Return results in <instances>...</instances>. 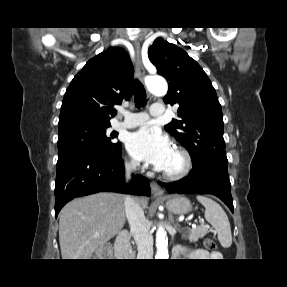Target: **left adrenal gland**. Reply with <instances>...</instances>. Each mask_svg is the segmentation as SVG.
<instances>
[{
	"label": "left adrenal gland",
	"instance_id": "1",
	"mask_svg": "<svg viewBox=\"0 0 287 287\" xmlns=\"http://www.w3.org/2000/svg\"><path fill=\"white\" fill-rule=\"evenodd\" d=\"M170 220H171L172 223L174 222L172 215H170Z\"/></svg>",
	"mask_w": 287,
	"mask_h": 287
}]
</instances>
